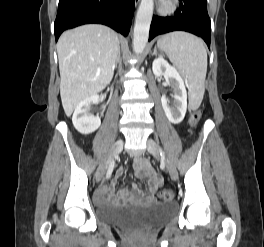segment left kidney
Here are the masks:
<instances>
[{"mask_svg":"<svg viewBox=\"0 0 264 247\" xmlns=\"http://www.w3.org/2000/svg\"><path fill=\"white\" fill-rule=\"evenodd\" d=\"M152 70L155 76L163 75L166 82L170 84L174 93L173 105L170 106L165 95H162V107L171 123H180L184 119L187 110V92L182 77L177 69L162 57L153 61Z\"/></svg>","mask_w":264,"mask_h":247,"instance_id":"obj_1","label":"left kidney"}]
</instances>
